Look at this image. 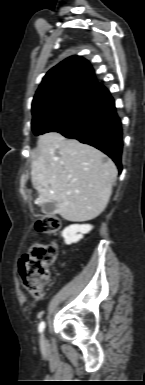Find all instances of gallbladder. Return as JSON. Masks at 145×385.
Returning a JSON list of instances; mask_svg holds the SVG:
<instances>
[{"mask_svg": "<svg viewBox=\"0 0 145 385\" xmlns=\"http://www.w3.org/2000/svg\"><path fill=\"white\" fill-rule=\"evenodd\" d=\"M42 212L47 215L56 213V206L53 202H48L42 205Z\"/></svg>", "mask_w": 145, "mask_h": 385, "instance_id": "1", "label": "gallbladder"}]
</instances>
